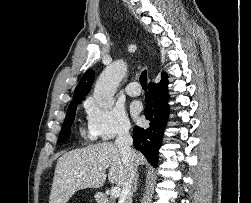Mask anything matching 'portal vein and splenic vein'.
I'll return each instance as SVG.
<instances>
[{
  "instance_id": "obj_1",
  "label": "portal vein and splenic vein",
  "mask_w": 251,
  "mask_h": 203,
  "mask_svg": "<svg viewBox=\"0 0 251 203\" xmlns=\"http://www.w3.org/2000/svg\"><path fill=\"white\" fill-rule=\"evenodd\" d=\"M120 191H121V189L119 188V187H113L112 189H111V197L112 198H117V197H119V195H120Z\"/></svg>"
}]
</instances>
